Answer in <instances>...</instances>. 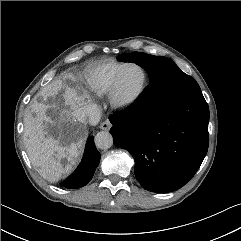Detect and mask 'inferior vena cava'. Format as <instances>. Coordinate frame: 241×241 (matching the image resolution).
<instances>
[{"label":"inferior vena cava","instance_id":"1","mask_svg":"<svg viewBox=\"0 0 241 241\" xmlns=\"http://www.w3.org/2000/svg\"><path fill=\"white\" fill-rule=\"evenodd\" d=\"M84 120L88 122H98L101 118V111L96 104H88L82 108Z\"/></svg>","mask_w":241,"mask_h":241}]
</instances>
